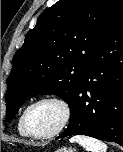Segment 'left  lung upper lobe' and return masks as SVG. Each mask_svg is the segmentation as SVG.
<instances>
[{
	"label": "left lung upper lobe",
	"mask_w": 123,
	"mask_h": 152,
	"mask_svg": "<svg viewBox=\"0 0 123 152\" xmlns=\"http://www.w3.org/2000/svg\"><path fill=\"white\" fill-rule=\"evenodd\" d=\"M121 0H59L45 10L15 53L7 79V121L33 96L54 94L70 105L84 66Z\"/></svg>",
	"instance_id": "left-lung-upper-lobe-1"
}]
</instances>
